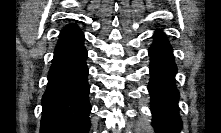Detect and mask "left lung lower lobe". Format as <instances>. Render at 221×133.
<instances>
[{"mask_svg": "<svg viewBox=\"0 0 221 133\" xmlns=\"http://www.w3.org/2000/svg\"><path fill=\"white\" fill-rule=\"evenodd\" d=\"M155 38L149 49L151 77L148 85L153 126L158 133H179L181 127L177 105L179 91L175 86L177 67L172 48L164 33L157 31Z\"/></svg>", "mask_w": 221, "mask_h": 133, "instance_id": "left-lung-lower-lobe-1", "label": "left lung lower lobe"}]
</instances>
